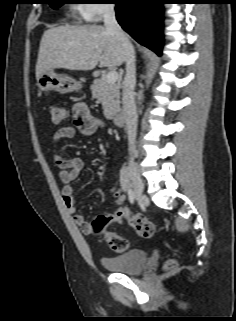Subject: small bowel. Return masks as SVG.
I'll use <instances>...</instances> for the list:
<instances>
[{
    "mask_svg": "<svg viewBox=\"0 0 236 321\" xmlns=\"http://www.w3.org/2000/svg\"><path fill=\"white\" fill-rule=\"evenodd\" d=\"M100 127H104V123L90 112L84 102H77L73 106L72 124L59 128L55 132L53 140L56 144H60L64 140L73 138L77 131L82 135L88 136ZM53 158L56 166L60 168L59 175L64 184L62 188L64 206L70 214H73L75 224L80 227L84 233L88 234L91 223L85 219L84 215L76 212L75 188L71 184L82 171L84 162L78 157L71 159L64 158L59 152H55ZM111 195L119 203L124 202L126 198L121 191V186L113 187L111 189Z\"/></svg>",
    "mask_w": 236,
    "mask_h": 321,
    "instance_id": "small-bowel-1",
    "label": "small bowel"
}]
</instances>
